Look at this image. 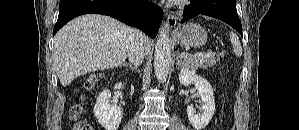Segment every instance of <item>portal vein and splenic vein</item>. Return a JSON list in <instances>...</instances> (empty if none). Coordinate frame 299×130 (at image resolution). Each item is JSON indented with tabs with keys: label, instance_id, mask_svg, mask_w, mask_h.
Segmentation results:
<instances>
[{
	"label": "portal vein and splenic vein",
	"instance_id": "1",
	"mask_svg": "<svg viewBox=\"0 0 299 130\" xmlns=\"http://www.w3.org/2000/svg\"><path fill=\"white\" fill-rule=\"evenodd\" d=\"M187 55H188V53L183 52V53H181L180 57H186ZM196 55H198V56H205V57H211V56H214V53L213 52L197 53Z\"/></svg>",
	"mask_w": 299,
	"mask_h": 130
}]
</instances>
